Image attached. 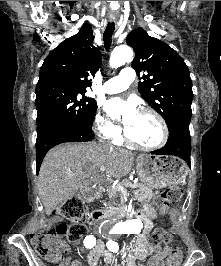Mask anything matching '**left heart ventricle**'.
Here are the masks:
<instances>
[{"label": "left heart ventricle", "mask_w": 221, "mask_h": 266, "mask_svg": "<svg viewBox=\"0 0 221 266\" xmlns=\"http://www.w3.org/2000/svg\"><path fill=\"white\" fill-rule=\"evenodd\" d=\"M125 128L132 139L144 145L156 143L161 136L158 122L149 114L139 113Z\"/></svg>", "instance_id": "obj_1"}]
</instances>
